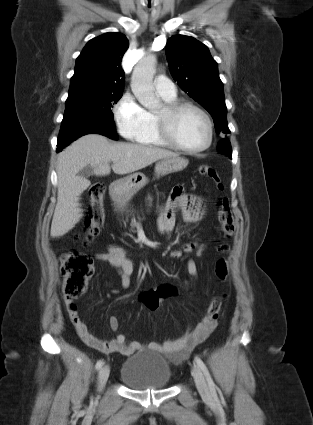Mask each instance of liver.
<instances>
[{
  "instance_id": "obj_1",
  "label": "liver",
  "mask_w": 313,
  "mask_h": 425,
  "mask_svg": "<svg viewBox=\"0 0 313 425\" xmlns=\"http://www.w3.org/2000/svg\"><path fill=\"white\" fill-rule=\"evenodd\" d=\"M172 151L132 143H110L99 134H88L74 141L58 155V193L50 235L52 238L68 233L83 217L80 195L90 181L77 176L86 166L97 176L114 173L124 175L143 169L162 159L177 157ZM117 159L110 167V161Z\"/></svg>"
}]
</instances>
